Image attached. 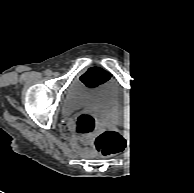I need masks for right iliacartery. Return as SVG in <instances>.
Wrapping results in <instances>:
<instances>
[{
  "mask_svg": "<svg viewBox=\"0 0 194 193\" xmlns=\"http://www.w3.org/2000/svg\"><path fill=\"white\" fill-rule=\"evenodd\" d=\"M45 73H46V75H48V76L52 75V71H51V70H46Z\"/></svg>",
  "mask_w": 194,
  "mask_h": 193,
  "instance_id": "right-iliac-artery-1",
  "label": "right iliac artery"
}]
</instances>
